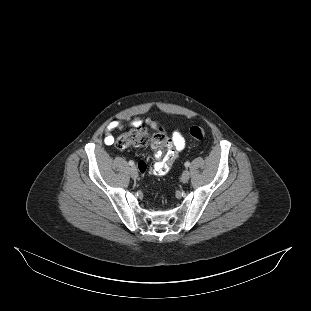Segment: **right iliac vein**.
Returning a JSON list of instances; mask_svg holds the SVG:
<instances>
[{"label":"right iliac vein","instance_id":"1","mask_svg":"<svg viewBox=\"0 0 311 311\" xmlns=\"http://www.w3.org/2000/svg\"><path fill=\"white\" fill-rule=\"evenodd\" d=\"M130 175L133 179H136L138 177V171L135 166L130 168Z\"/></svg>","mask_w":311,"mask_h":311}]
</instances>
